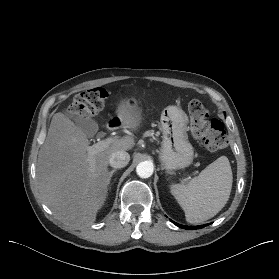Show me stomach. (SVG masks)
<instances>
[{
  "label": "stomach",
  "mask_w": 279,
  "mask_h": 279,
  "mask_svg": "<svg viewBox=\"0 0 279 279\" xmlns=\"http://www.w3.org/2000/svg\"><path fill=\"white\" fill-rule=\"evenodd\" d=\"M130 103H136L130 99ZM163 140L160 149V160L167 171L185 168L193 160L194 150L188 141V118L186 113L177 106H168L160 118Z\"/></svg>",
  "instance_id": "1"
}]
</instances>
